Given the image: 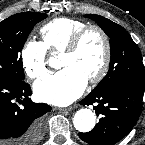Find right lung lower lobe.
I'll return each instance as SVG.
<instances>
[{
    "label": "right lung lower lobe",
    "instance_id": "obj_1",
    "mask_svg": "<svg viewBox=\"0 0 145 145\" xmlns=\"http://www.w3.org/2000/svg\"><path fill=\"white\" fill-rule=\"evenodd\" d=\"M30 95V85L24 80H0V145H36L40 136L38 118L51 107L33 103Z\"/></svg>",
    "mask_w": 145,
    "mask_h": 145
}]
</instances>
